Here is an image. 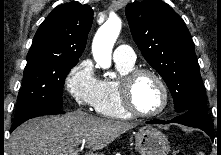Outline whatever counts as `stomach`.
I'll return each mask as SVG.
<instances>
[{"instance_id": "stomach-1", "label": "stomach", "mask_w": 221, "mask_h": 155, "mask_svg": "<svg viewBox=\"0 0 221 155\" xmlns=\"http://www.w3.org/2000/svg\"><path fill=\"white\" fill-rule=\"evenodd\" d=\"M135 147L140 155H168L170 152L167 137L151 126H144L135 133Z\"/></svg>"}]
</instances>
